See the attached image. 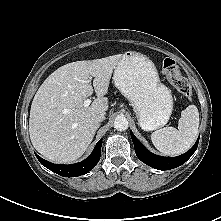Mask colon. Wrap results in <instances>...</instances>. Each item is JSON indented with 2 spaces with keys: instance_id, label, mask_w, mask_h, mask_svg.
<instances>
[{
  "instance_id": "obj_1",
  "label": "colon",
  "mask_w": 221,
  "mask_h": 221,
  "mask_svg": "<svg viewBox=\"0 0 221 221\" xmlns=\"http://www.w3.org/2000/svg\"><path fill=\"white\" fill-rule=\"evenodd\" d=\"M162 72L177 92H179L185 98L191 97V86L189 85L188 81L182 76L179 66L175 60L171 58H166L163 61Z\"/></svg>"
}]
</instances>
